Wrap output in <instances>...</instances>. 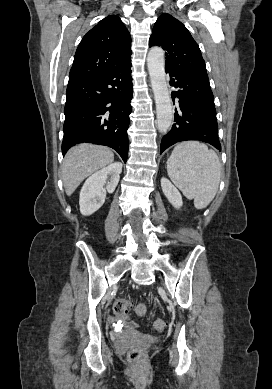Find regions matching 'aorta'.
I'll return each mask as SVG.
<instances>
[{
	"mask_svg": "<svg viewBox=\"0 0 272 389\" xmlns=\"http://www.w3.org/2000/svg\"><path fill=\"white\" fill-rule=\"evenodd\" d=\"M147 66L154 93L157 113V127L166 133L173 120V107L165 77L164 51L160 47H152L147 56Z\"/></svg>",
	"mask_w": 272,
	"mask_h": 389,
	"instance_id": "762f6f07",
	"label": "aorta"
}]
</instances>
